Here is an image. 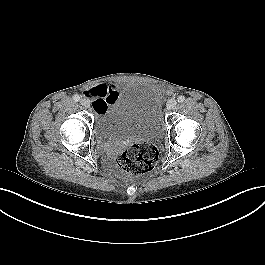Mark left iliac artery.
Segmentation results:
<instances>
[{
    "label": "left iliac artery",
    "mask_w": 265,
    "mask_h": 265,
    "mask_svg": "<svg viewBox=\"0 0 265 265\" xmlns=\"http://www.w3.org/2000/svg\"><path fill=\"white\" fill-rule=\"evenodd\" d=\"M184 100H185V97L182 95L178 96V98H177V101L180 103L184 102Z\"/></svg>",
    "instance_id": "44dca946"
}]
</instances>
